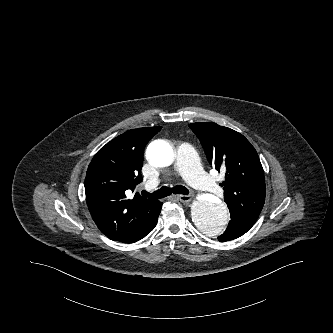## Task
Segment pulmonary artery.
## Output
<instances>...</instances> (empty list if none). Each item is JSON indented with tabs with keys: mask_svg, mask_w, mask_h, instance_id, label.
Segmentation results:
<instances>
[{
	"mask_svg": "<svg viewBox=\"0 0 333 333\" xmlns=\"http://www.w3.org/2000/svg\"><path fill=\"white\" fill-rule=\"evenodd\" d=\"M174 169L194 188L214 195L222 194L218 184L203 172L196 151L190 144L183 143L178 147Z\"/></svg>",
	"mask_w": 333,
	"mask_h": 333,
	"instance_id": "obj_1",
	"label": "pulmonary artery"
}]
</instances>
